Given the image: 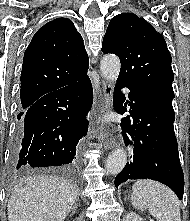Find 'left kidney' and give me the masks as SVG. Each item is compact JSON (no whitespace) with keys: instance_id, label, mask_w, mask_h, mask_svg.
I'll return each instance as SVG.
<instances>
[{"instance_id":"1","label":"left kidney","mask_w":190,"mask_h":221,"mask_svg":"<svg viewBox=\"0 0 190 221\" xmlns=\"http://www.w3.org/2000/svg\"><path fill=\"white\" fill-rule=\"evenodd\" d=\"M126 221H141V219L136 213L130 212L129 214H127Z\"/></svg>"}]
</instances>
